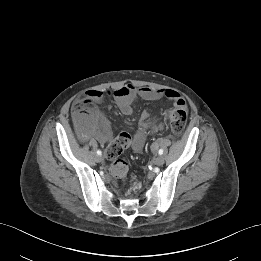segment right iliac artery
<instances>
[{
	"label": "right iliac artery",
	"mask_w": 261,
	"mask_h": 261,
	"mask_svg": "<svg viewBox=\"0 0 261 261\" xmlns=\"http://www.w3.org/2000/svg\"><path fill=\"white\" fill-rule=\"evenodd\" d=\"M97 154H98V155H101L102 152H101L100 150H97Z\"/></svg>",
	"instance_id": "right-iliac-artery-1"
}]
</instances>
